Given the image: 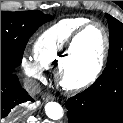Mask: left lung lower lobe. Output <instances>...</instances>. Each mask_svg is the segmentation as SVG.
<instances>
[{"mask_svg":"<svg viewBox=\"0 0 123 123\" xmlns=\"http://www.w3.org/2000/svg\"><path fill=\"white\" fill-rule=\"evenodd\" d=\"M65 105L69 123H123V75L108 83L98 78Z\"/></svg>","mask_w":123,"mask_h":123,"instance_id":"1","label":"left lung lower lobe"}]
</instances>
